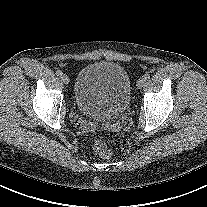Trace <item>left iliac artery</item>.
<instances>
[{
	"label": "left iliac artery",
	"instance_id": "obj_1",
	"mask_svg": "<svg viewBox=\"0 0 207 207\" xmlns=\"http://www.w3.org/2000/svg\"><path fill=\"white\" fill-rule=\"evenodd\" d=\"M143 78L145 80H148L150 78V74L148 72H146L144 75H143Z\"/></svg>",
	"mask_w": 207,
	"mask_h": 207
}]
</instances>
